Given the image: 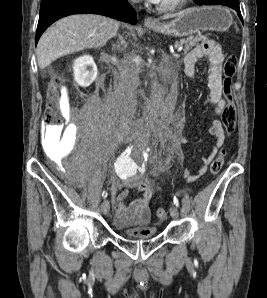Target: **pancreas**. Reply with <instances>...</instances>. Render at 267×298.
<instances>
[{
  "label": "pancreas",
  "instance_id": "pancreas-1",
  "mask_svg": "<svg viewBox=\"0 0 267 298\" xmlns=\"http://www.w3.org/2000/svg\"><path fill=\"white\" fill-rule=\"evenodd\" d=\"M204 36H191L187 39H182L179 42L175 43L176 47L185 45L184 53H187L192 47L196 46L200 41L204 40Z\"/></svg>",
  "mask_w": 267,
  "mask_h": 298
}]
</instances>
